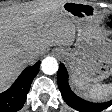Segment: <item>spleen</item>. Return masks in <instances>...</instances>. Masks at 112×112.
<instances>
[{
    "instance_id": "1",
    "label": "spleen",
    "mask_w": 112,
    "mask_h": 112,
    "mask_svg": "<svg viewBox=\"0 0 112 112\" xmlns=\"http://www.w3.org/2000/svg\"><path fill=\"white\" fill-rule=\"evenodd\" d=\"M73 83L79 90H85V97L94 101L105 100L112 95V84H93L89 85L83 80L74 77Z\"/></svg>"
}]
</instances>
